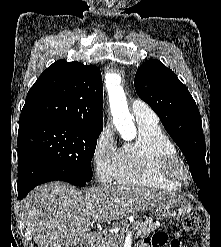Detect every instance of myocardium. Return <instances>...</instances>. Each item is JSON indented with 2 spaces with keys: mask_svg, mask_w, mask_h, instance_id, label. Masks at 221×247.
I'll return each mask as SVG.
<instances>
[{
  "mask_svg": "<svg viewBox=\"0 0 221 247\" xmlns=\"http://www.w3.org/2000/svg\"><path fill=\"white\" fill-rule=\"evenodd\" d=\"M158 168L164 177L180 185H186L191 180L187 164L179 155L165 154L161 156Z\"/></svg>",
  "mask_w": 221,
  "mask_h": 247,
  "instance_id": "f54148a6",
  "label": "myocardium"
}]
</instances>
